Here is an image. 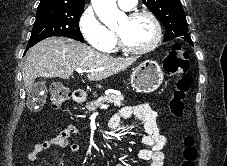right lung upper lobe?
Instances as JSON below:
<instances>
[{"mask_svg": "<svg viewBox=\"0 0 227 166\" xmlns=\"http://www.w3.org/2000/svg\"><path fill=\"white\" fill-rule=\"evenodd\" d=\"M85 0H41L38 7L84 8Z\"/></svg>", "mask_w": 227, "mask_h": 166, "instance_id": "obj_1", "label": "right lung upper lobe"}]
</instances>
